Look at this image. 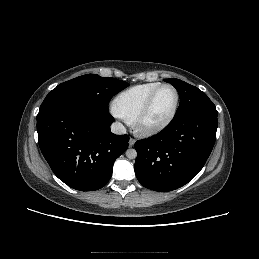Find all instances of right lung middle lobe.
<instances>
[{"label":"right lung middle lobe","instance_id":"obj_1","mask_svg":"<svg viewBox=\"0 0 259 259\" xmlns=\"http://www.w3.org/2000/svg\"><path fill=\"white\" fill-rule=\"evenodd\" d=\"M129 84L114 78L86 74L66 81L53 89L44 99L39 113L62 102H79L108 111L111 98Z\"/></svg>","mask_w":259,"mask_h":259}]
</instances>
